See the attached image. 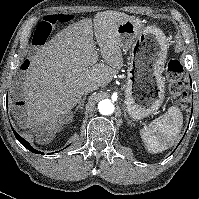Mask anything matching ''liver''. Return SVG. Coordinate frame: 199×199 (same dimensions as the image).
<instances>
[{"label":"liver","instance_id":"6515ba94","mask_svg":"<svg viewBox=\"0 0 199 199\" xmlns=\"http://www.w3.org/2000/svg\"><path fill=\"white\" fill-rule=\"evenodd\" d=\"M126 18L127 14L117 11L98 12L92 20L83 19L61 30L36 50L21 82L27 117L13 110L22 128H33L38 137L50 134L51 140L71 120V111L87 85L95 82L105 87L112 81L123 67L116 27ZM99 53L104 63H93ZM11 92L16 93L15 89Z\"/></svg>","mask_w":199,"mask_h":199}]
</instances>
